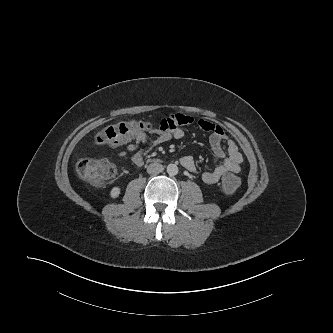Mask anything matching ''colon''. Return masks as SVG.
Wrapping results in <instances>:
<instances>
[{"label": "colon", "mask_w": 333, "mask_h": 333, "mask_svg": "<svg viewBox=\"0 0 333 333\" xmlns=\"http://www.w3.org/2000/svg\"><path fill=\"white\" fill-rule=\"evenodd\" d=\"M150 124L141 120H124L101 130L96 136V143L102 146L125 144L144 135ZM78 174L93 186H101L112 179L117 172L116 166L106 159H81L77 164ZM240 180L234 174H225L222 187L226 192H234L239 187Z\"/></svg>", "instance_id": "obj_1"}]
</instances>
